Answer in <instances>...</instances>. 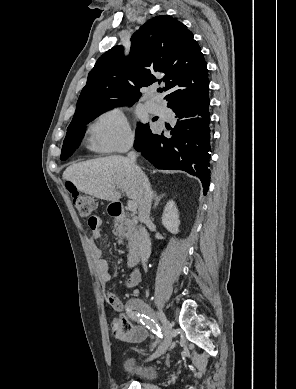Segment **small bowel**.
<instances>
[{"label": "small bowel", "mask_w": 296, "mask_h": 389, "mask_svg": "<svg viewBox=\"0 0 296 389\" xmlns=\"http://www.w3.org/2000/svg\"><path fill=\"white\" fill-rule=\"evenodd\" d=\"M90 227L92 229V236L89 239V249L94 259L96 270L98 272L100 280L104 283H107L111 278L110 268L107 261L102 257V251L97 245V240L100 239L102 235L101 219L97 217L95 225H92ZM140 281H141V273L137 268L133 267L131 269L129 278L127 279L126 287L132 289L136 287L140 283ZM107 300L109 304L114 308L115 311L119 313L123 311L124 305L115 293L108 292ZM119 323L121 325L126 324L124 322V319L122 318L119 319ZM130 328L131 330L127 335V339L129 342L140 343L146 339L148 332L144 327L130 326Z\"/></svg>", "instance_id": "1"}]
</instances>
